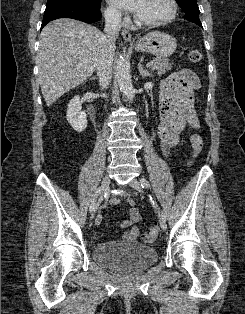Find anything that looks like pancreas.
<instances>
[{"label": "pancreas", "mask_w": 245, "mask_h": 314, "mask_svg": "<svg viewBox=\"0 0 245 314\" xmlns=\"http://www.w3.org/2000/svg\"><path fill=\"white\" fill-rule=\"evenodd\" d=\"M171 69L172 63H170L168 59H155L151 66V71L153 73L156 71L159 76Z\"/></svg>", "instance_id": "pancreas-1"}]
</instances>
